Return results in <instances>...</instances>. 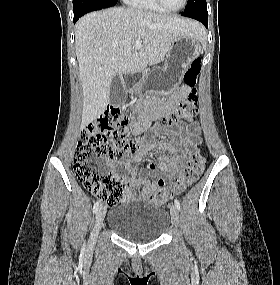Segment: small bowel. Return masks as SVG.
<instances>
[{
    "instance_id": "c3829d8e",
    "label": "small bowel",
    "mask_w": 280,
    "mask_h": 285,
    "mask_svg": "<svg viewBox=\"0 0 280 285\" xmlns=\"http://www.w3.org/2000/svg\"><path fill=\"white\" fill-rule=\"evenodd\" d=\"M190 88L183 85L168 101L157 111L154 118L168 114L187 97ZM150 125V119L140 117L132 128V134L139 136L144 133ZM199 125L193 119L187 120V128L182 132L173 133V141L151 140L139 144L138 148L128 156L121 158L118 162L120 168L127 173L122 189V198L130 200L133 198H147L151 193L165 186L167 180L177 178L183 171L185 160L190 156L192 150L199 141ZM167 151L171 156L159 157L158 163L148 162L146 174L155 173L159 170L160 175L151 180L147 176L138 177L135 164L142 162L144 155L151 151Z\"/></svg>"
}]
</instances>
